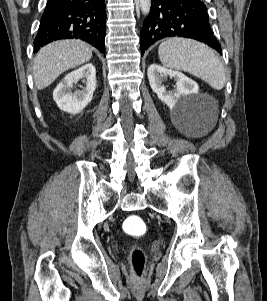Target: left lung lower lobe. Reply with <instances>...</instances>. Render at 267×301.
<instances>
[{
	"label": "left lung lower lobe",
	"mask_w": 267,
	"mask_h": 301,
	"mask_svg": "<svg viewBox=\"0 0 267 301\" xmlns=\"http://www.w3.org/2000/svg\"><path fill=\"white\" fill-rule=\"evenodd\" d=\"M140 35L142 55L157 40L171 36L204 42L222 54L202 0H152Z\"/></svg>",
	"instance_id": "0a47b994"
}]
</instances>
